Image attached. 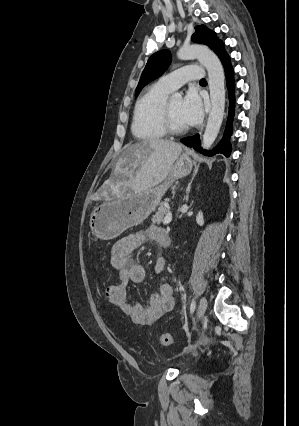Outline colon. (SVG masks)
Listing matches in <instances>:
<instances>
[{
	"mask_svg": "<svg viewBox=\"0 0 299 426\" xmlns=\"http://www.w3.org/2000/svg\"><path fill=\"white\" fill-rule=\"evenodd\" d=\"M127 290L117 284H108L104 289L105 300L116 309H121L126 301ZM158 341L163 346H170L174 340L170 334H161L158 337Z\"/></svg>",
	"mask_w": 299,
	"mask_h": 426,
	"instance_id": "obj_1",
	"label": "colon"
}]
</instances>
